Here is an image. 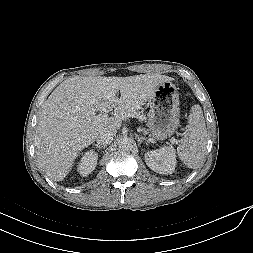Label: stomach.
<instances>
[{
  "label": "stomach",
  "instance_id": "obj_1",
  "mask_svg": "<svg viewBox=\"0 0 253 253\" xmlns=\"http://www.w3.org/2000/svg\"><path fill=\"white\" fill-rule=\"evenodd\" d=\"M147 127L160 141L172 135L180 124L179 94L176 86L168 81L158 86L149 100Z\"/></svg>",
  "mask_w": 253,
  "mask_h": 253
}]
</instances>
